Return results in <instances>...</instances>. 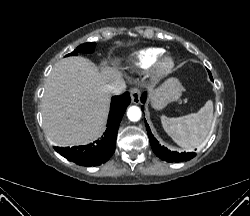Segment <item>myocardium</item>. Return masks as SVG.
<instances>
[{"label":"myocardium","mask_w":250,"mask_h":216,"mask_svg":"<svg viewBox=\"0 0 250 216\" xmlns=\"http://www.w3.org/2000/svg\"><path fill=\"white\" fill-rule=\"evenodd\" d=\"M175 61L169 55H161L152 66V77L161 80L168 76L174 69Z\"/></svg>","instance_id":"1"}]
</instances>
